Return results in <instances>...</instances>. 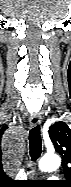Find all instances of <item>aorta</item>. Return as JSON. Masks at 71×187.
Returning <instances> with one entry per match:
<instances>
[{
	"mask_svg": "<svg viewBox=\"0 0 71 187\" xmlns=\"http://www.w3.org/2000/svg\"><path fill=\"white\" fill-rule=\"evenodd\" d=\"M61 159L56 154L45 155L39 161V169L44 172L55 171L59 168Z\"/></svg>",
	"mask_w": 71,
	"mask_h": 187,
	"instance_id": "762f6f07",
	"label": "aorta"
}]
</instances>
